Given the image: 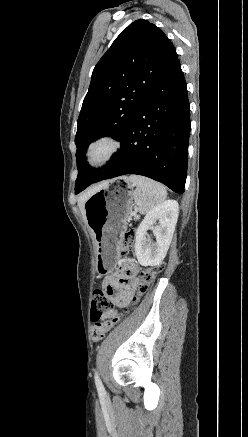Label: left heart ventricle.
<instances>
[{
  "label": "left heart ventricle",
  "instance_id": "left-heart-ventricle-1",
  "mask_svg": "<svg viewBox=\"0 0 248 437\" xmlns=\"http://www.w3.org/2000/svg\"><path fill=\"white\" fill-rule=\"evenodd\" d=\"M103 151H104V147H100V148L97 149V154H99V153H101Z\"/></svg>",
  "mask_w": 248,
  "mask_h": 437
}]
</instances>
